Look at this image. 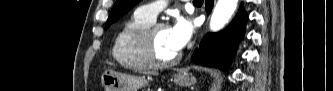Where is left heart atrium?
I'll return each instance as SVG.
<instances>
[{
	"mask_svg": "<svg viewBox=\"0 0 333 91\" xmlns=\"http://www.w3.org/2000/svg\"><path fill=\"white\" fill-rule=\"evenodd\" d=\"M194 30L193 22L185 18H177L169 28L172 45L176 51H181L189 42Z\"/></svg>",
	"mask_w": 333,
	"mask_h": 91,
	"instance_id": "left-heart-atrium-1",
	"label": "left heart atrium"
}]
</instances>
